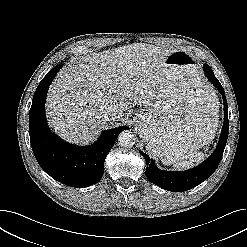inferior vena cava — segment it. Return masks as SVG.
I'll return each instance as SVG.
<instances>
[{
	"mask_svg": "<svg viewBox=\"0 0 247 247\" xmlns=\"http://www.w3.org/2000/svg\"><path fill=\"white\" fill-rule=\"evenodd\" d=\"M103 118L107 121L113 120L120 117V113L113 107H109L106 111L103 113Z\"/></svg>",
	"mask_w": 247,
	"mask_h": 247,
	"instance_id": "obj_1",
	"label": "inferior vena cava"
}]
</instances>
